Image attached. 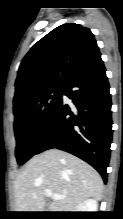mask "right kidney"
Masks as SVG:
<instances>
[{
	"label": "right kidney",
	"mask_w": 123,
	"mask_h": 219,
	"mask_svg": "<svg viewBox=\"0 0 123 219\" xmlns=\"http://www.w3.org/2000/svg\"><path fill=\"white\" fill-rule=\"evenodd\" d=\"M98 205L95 199H87L77 205L73 212H97Z\"/></svg>",
	"instance_id": "1"
}]
</instances>
